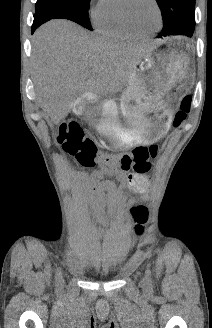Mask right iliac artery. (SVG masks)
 Masks as SVG:
<instances>
[{"mask_svg":"<svg viewBox=\"0 0 212 328\" xmlns=\"http://www.w3.org/2000/svg\"><path fill=\"white\" fill-rule=\"evenodd\" d=\"M60 276H61V270L58 268L57 271H56V276H55L56 277V281L59 280Z\"/></svg>","mask_w":212,"mask_h":328,"instance_id":"right-iliac-artery-1","label":"right iliac artery"}]
</instances>
